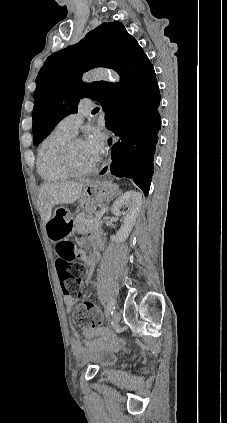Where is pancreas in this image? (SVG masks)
I'll use <instances>...</instances> for the list:
<instances>
[{
    "mask_svg": "<svg viewBox=\"0 0 227 423\" xmlns=\"http://www.w3.org/2000/svg\"><path fill=\"white\" fill-rule=\"evenodd\" d=\"M86 219H94V221L91 223V221H86ZM101 223V219H98V217H92L91 213H89V215H86V213H78L74 219L73 229L80 231V233H88L90 229H93V227H99Z\"/></svg>",
    "mask_w": 227,
    "mask_h": 423,
    "instance_id": "cf45deb5",
    "label": "pancreas"
}]
</instances>
